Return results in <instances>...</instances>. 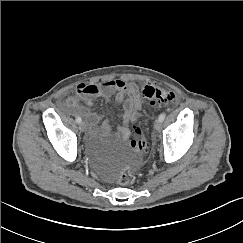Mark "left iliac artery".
I'll return each mask as SVG.
<instances>
[{
	"label": "left iliac artery",
	"mask_w": 243,
	"mask_h": 243,
	"mask_svg": "<svg viewBox=\"0 0 243 243\" xmlns=\"http://www.w3.org/2000/svg\"><path fill=\"white\" fill-rule=\"evenodd\" d=\"M165 116H166V114H165L164 112H162V113L159 115V120H160L161 122H163L164 119H165Z\"/></svg>",
	"instance_id": "left-iliac-artery-1"
}]
</instances>
